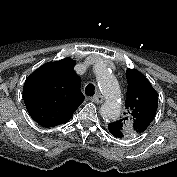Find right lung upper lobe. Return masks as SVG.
Wrapping results in <instances>:
<instances>
[{
  "mask_svg": "<svg viewBox=\"0 0 177 177\" xmlns=\"http://www.w3.org/2000/svg\"><path fill=\"white\" fill-rule=\"evenodd\" d=\"M75 60L65 58L43 64L26 79L23 98L31 117L43 127L68 122L82 104Z\"/></svg>",
  "mask_w": 177,
  "mask_h": 177,
  "instance_id": "right-lung-upper-lobe-1",
  "label": "right lung upper lobe"
}]
</instances>
